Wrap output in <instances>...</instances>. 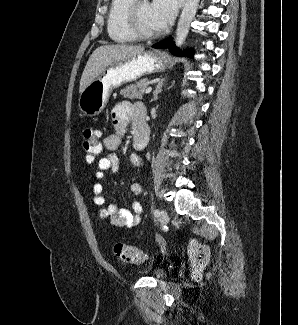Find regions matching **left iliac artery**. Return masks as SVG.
Instances as JSON below:
<instances>
[{"label": "left iliac artery", "instance_id": "44dca946", "mask_svg": "<svg viewBox=\"0 0 298 325\" xmlns=\"http://www.w3.org/2000/svg\"><path fill=\"white\" fill-rule=\"evenodd\" d=\"M154 216L159 217L160 216V211L158 209L154 210Z\"/></svg>", "mask_w": 298, "mask_h": 325}]
</instances>
